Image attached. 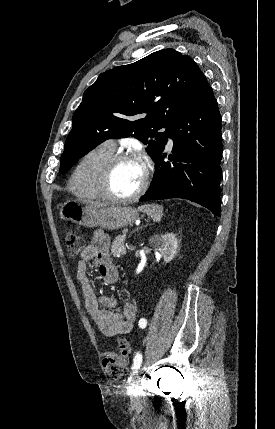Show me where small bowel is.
Listing matches in <instances>:
<instances>
[{
  "mask_svg": "<svg viewBox=\"0 0 275 429\" xmlns=\"http://www.w3.org/2000/svg\"><path fill=\"white\" fill-rule=\"evenodd\" d=\"M110 239L103 231H97L92 243L84 248L77 264L76 278L81 287L85 306L93 321L106 338L129 333L136 322V307L125 301L121 312H114L116 299L109 295L97 297L90 282L87 262L95 260L101 277L108 284H114L118 272L109 256Z\"/></svg>",
  "mask_w": 275,
  "mask_h": 429,
  "instance_id": "small-bowel-1",
  "label": "small bowel"
}]
</instances>
